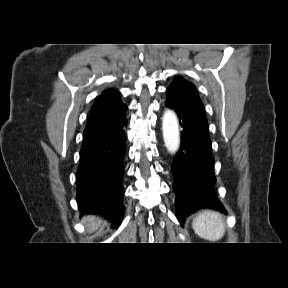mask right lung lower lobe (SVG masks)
I'll use <instances>...</instances> for the list:
<instances>
[{
  "instance_id": "98d812e1",
  "label": "right lung lower lobe",
  "mask_w": 288,
  "mask_h": 288,
  "mask_svg": "<svg viewBox=\"0 0 288 288\" xmlns=\"http://www.w3.org/2000/svg\"><path fill=\"white\" fill-rule=\"evenodd\" d=\"M99 144L82 147L77 169L76 201L82 214H98L118 227L124 216L123 205L125 132Z\"/></svg>"
}]
</instances>
